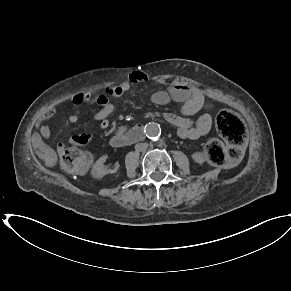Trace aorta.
Wrapping results in <instances>:
<instances>
[{
  "label": "aorta",
  "instance_id": "1",
  "mask_svg": "<svg viewBox=\"0 0 291 291\" xmlns=\"http://www.w3.org/2000/svg\"><path fill=\"white\" fill-rule=\"evenodd\" d=\"M145 134L148 138L150 139H156L160 136L161 134V128L158 124L156 123H149L145 127Z\"/></svg>",
  "mask_w": 291,
  "mask_h": 291
}]
</instances>
